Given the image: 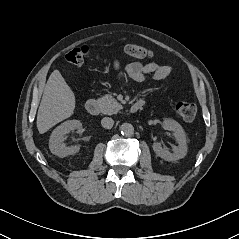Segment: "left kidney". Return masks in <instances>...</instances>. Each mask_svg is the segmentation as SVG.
Returning <instances> with one entry per match:
<instances>
[{
    "instance_id": "left-kidney-1",
    "label": "left kidney",
    "mask_w": 239,
    "mask_h": 239,
    "mask_svg": "<svg viewBox=\"0 0 239 239\" xmlns=\"http://www.w3.org/2000/svg\"><path fill=\"white\" fill-rule=\"evenodd\" d=\"M164 130L172 131L178 146L174 148V152H169L161 146V143L154 142L152 147L157 156L166 161H176L182 159L187 154V139L182 126L172 119H166L162 124Z\"/></svg>"
}]
</instances>
